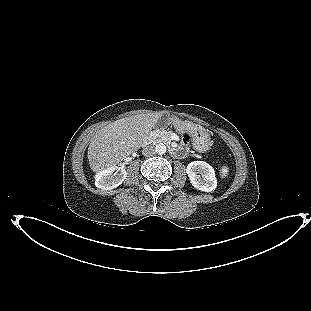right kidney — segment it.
I'll return each instance as SVG.
<instances>
[{
    "mask_svg": "<svg viewBox=\"0 0 311 311\" xmlns=\"http://www.w3.org/2000/svg\"><path fill=\"white\" fill-rule=\"evenodd\" d=\"M127 172L122 167L111 166L97 173L95 185L102 190H112L126 179Z\"/></svg>",
    "mask_w": 311,
    "mask_h": 311,
    "instance_id": "right-kidney-1",
    "label": "right kidney"
}]
</instances>
